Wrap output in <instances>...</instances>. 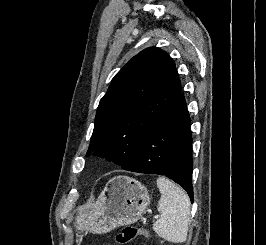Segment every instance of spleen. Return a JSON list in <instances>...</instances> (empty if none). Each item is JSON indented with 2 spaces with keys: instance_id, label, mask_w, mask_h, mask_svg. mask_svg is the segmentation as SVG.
Segmentation results:
<instances>
[{
  "instance_id": "1",
  "label": "spleen",
  "mask_w": 266,
  "mask_h": 245,
  "mask_svg": "<svg viewBox=\"0 0 266 245\" xmlns=\"http://www.w3.org/2000/svg\"><path fill=\"white\" fill-rule=\"evenodd\" d=\"M156 183L161 193L158 201L161 215L153 229L158 237L169 243H185L191 213L189 197L166 177H158Z\"/></svg>"
}]
</instances>
